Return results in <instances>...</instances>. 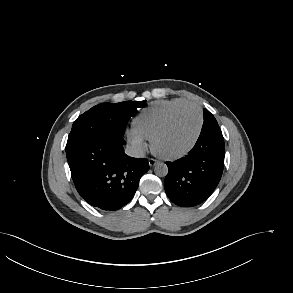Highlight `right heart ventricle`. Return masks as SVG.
Segmentation results:
<instances>
[{
    "label": "right heart ventricle",
    "mask_w": 293,
    "mask_h": 293,
    "mask_svg": "<svg viewBox=\"0 0 293 293\" xmlns=\"http://www.w3.org/2000/svg\"><path fill=\"white\" fill-rule=\"evenodd\" d=\"M189 102L183 98H174L151 103L133 120V131L145 139H151L153 133L175 108Z\"/></svg>",
    "instance_id": "obj_1"
}]
</instances>
